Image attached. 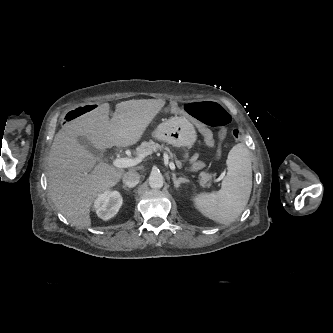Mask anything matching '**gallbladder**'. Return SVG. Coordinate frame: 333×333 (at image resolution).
<instances>
[{
    "mask_svg": "<svg viewBox=\"0 0 333 333\" xmlns=\"http://www.w3.org/2000/svg\"><path fill=\"white\" fill-rule=\"evenodd\" d=\"M78 143L87 149L89 152H91L96 158L98 159H104L105 152L102 150H99L93 146V144L84 136H78L77 137Z\"/></svg>",
    "mask_w": 333,
    "mask_h": 333,
    "instance_id": "bac80fb5",
    "label": "gallbladder"
}]
</instances>
